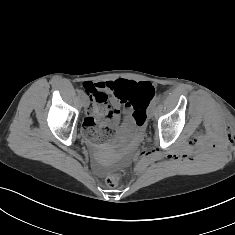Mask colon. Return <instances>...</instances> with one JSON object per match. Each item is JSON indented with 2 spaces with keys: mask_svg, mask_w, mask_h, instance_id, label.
Listing matches in <instances>:
<instances>
[{
  "mask_svg": "<svg viewBox=\"0 0 235 235\" xmlns=\"http://www.w3.org/2000/svg\"><path fill=\"white\" fill-rule=\"evenodd\" d=\"M154 95V89L151 84L147 82L143 83H128L125 91L120 92V96H122L126 101H128L132 107L134 108L133 117L135 123L138 128L141 130L144 129L147 121V115L145 111V107L142 104L143 98H151ZM98 102L105 101V95L99 94L97 96ZM106 120V113L103 111L94 116L93 121L97 126H100ZM108 133L106 132L104 136ZM125 175L124 169H118L114 172H111L106 177V183L110 187H115L119 184L122 177Z\"/></svg>",
  "mask_w": 235,
  "mask_h": 235,
  "instance_id": "1",
  "label": "colon"
}]
</instances>
